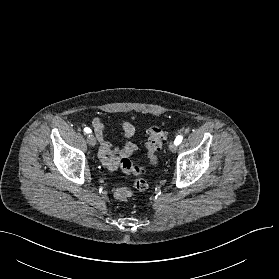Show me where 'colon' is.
<instances>
[{
  "instance_id": "colon-1",
  "label": "colon",
  "mask_w": 279,
  "mask_h": 279,
  "mask_svg": "<svg viewBox=\"0 0 279 279\" xmlns=\"http://www.w3.org/2000/svg\"><path fill=\"white\" fill-rule=\"evenodd\" d=\"M166 138V133L159 127H151L148 129V141L146 144L147 156L151 166L158 164V153L162 150ZM122 171L128 175H143L146 172L144 167L135 165L130 159L123 158L120 162ZM148 188L146 180L138 178L134 181L132 187L120 186L114 190V197L119 201H127L131 198L133 191H145Z\"/></svg>"
}]
</instances>
